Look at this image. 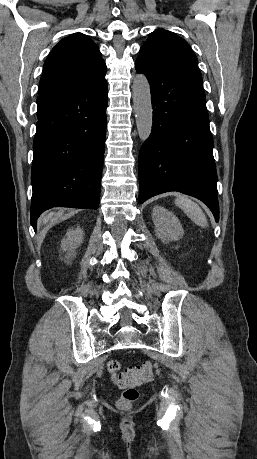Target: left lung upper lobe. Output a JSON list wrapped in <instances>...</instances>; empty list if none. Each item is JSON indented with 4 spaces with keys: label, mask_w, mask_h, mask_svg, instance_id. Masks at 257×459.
<instances>
[{
    "label": "left lung upper lobe",
    "mask_w": 257,
    "mask_h": 459,
    "mask_svg": "<svg viewBox=\"0 0 257 459\" xmlns=\"http://www.w3.org/2000/svg\"><path fill=\"white\" fill-rule=\"evenodd\" d=\"M138 58L162 65L197 64V57L186 41L166 30L151 33Z\"/></svg>",
    "instance_id": "1"
}]
</instances>
